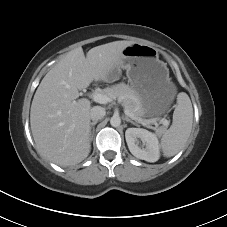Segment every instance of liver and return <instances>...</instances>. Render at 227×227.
Returning <instances> with one entry per match:
<instances>
[{
  "instance_id": "obj_1",
  "label": "liver",
  "mask_w": 227,
  "mask_h": 227,
  "mask_svg": "<svg viewBox=\"0 0 227 227\" xmlns=\"http://www.w3.org/2000/svg\"><path fill=\"white\" fill-rule=\"evenodd\" d=\"M132 41H114L90 49L68 52L42 79L34 95L31 131L39 152L53 163L71 166L90 153L91 103L80 99L79 90L93 81H108Z\"/></svg>"
}]
</instances>
